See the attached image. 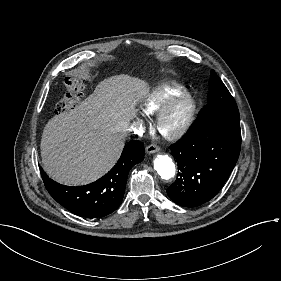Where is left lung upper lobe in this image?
Returning a JSON list of instances; mask_svg holds the SVG:
<instances>
[{"label": "left lung upper lobe", "instance_id": "5c2ea615", "mask_svg": "<svg viewBox=\"0 0 281 281\" xmlns=\"http://www.w3.org/2000/svg\"><path fill=\"white\" fill-rule=\"evenodd\" d=\"M217 118L239 119V111L228 89L211 70L208 104L201 110L198 120Z\"/></svg>", "mask_w": 281, "mask_h": 281}]
</instances>
